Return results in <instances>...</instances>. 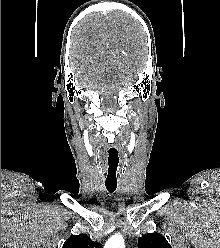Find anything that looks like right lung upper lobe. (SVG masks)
Here are the masks:
<instances>
[{"mask_svg": "<svg viewBox=\"0 0 220 248\" xmlns=\"http://www.w3.org/2000/svg\"><path fill=\"white\" fill-rule=\"evenodd\" d=\"M62 248H102L98 242L92 241L87 235H74L69 237Z\"/></svg>", "mask_w": 220, "mask_h": 248, "instance_id": "obj_1", "label": "right lung upper lobe"}]
</instances>
